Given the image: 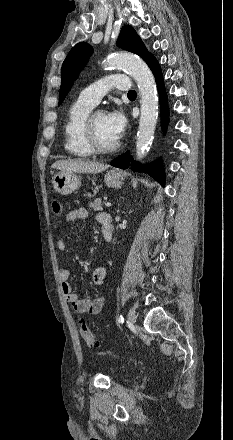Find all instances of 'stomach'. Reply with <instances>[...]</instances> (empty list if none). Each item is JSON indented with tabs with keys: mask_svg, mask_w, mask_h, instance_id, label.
I'll return each instance as SVG.
<instances>
[{
	"mask_svg": "<svg viewBox=\"0 0 233 440\" xmlns=\"http://www.w3.org/2000/svg\"><path fill=\"white\" fill-rule=\"evenodd\" d=\"M124 176L117 170L108 171L105 183L108 187L118 188L123 184ZM53 188L62 195H69L81 184V178L76 173L58 172L53 177Z\"/></svg>",
	"mask_w": 233,
	"mask_h": 440,
	"instance_id": "1",
	"label": "stomach"
}]
</instances>
